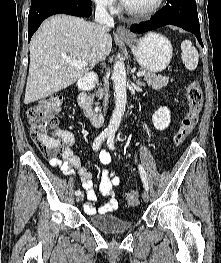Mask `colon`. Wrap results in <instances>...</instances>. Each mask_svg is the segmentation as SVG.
<instances>
[{
  "label": "colon",
  "instance_id": "5ec220e1",
  "mask_svg": "<svg viewBox=\"0 0 221 263\" xmlns=\"http://www.w3.org/2000/svg\"><path fill=\"white\" fill-rule=\"evenodd\" d=\"M188 110L182 123L173 137L175 146L181 145L192 133L198 123L203 105V94L199 84L192 81L186 89ZM63 97L54 93L43 99L28 110L30 134L33 142L46 158L56 159L63 152L61 132L57 128L55 113L62 106ZM140 202L138 191H131L125 197V204L129 207L137 206Z\"/></svg>",
  "mask_w": 221,
  "mask_h": 263
}]
</instances>
